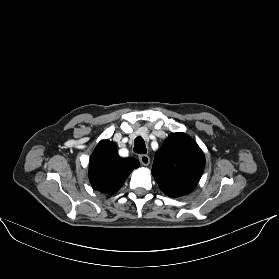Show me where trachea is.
<instances>
[{"label":"trachea","mask_w":279,"mask_h":279,"mask_svg":"<svg viewBox=\"0 0 279 279\" xmlns=\"http://www.w3.org/2000/svg\"><path fill=\"white\" fill-rule=\"evenodd\" d=\"M134 152L137 154H146L147 148L142 137H136L134 141Z\"/></svg>","instance_id":"obj_1"}]
</instances>
